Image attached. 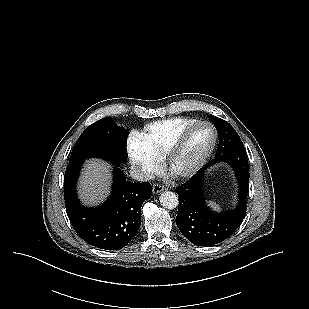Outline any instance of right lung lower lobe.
<instances>
[{
    "mask_svg": "<svg viewBox=\"0 0 309 309\" xmlns=\"http://www.w3.org/2000/svg\"><path fill=\"white\" fill-rule=\"evenodd\" d=\"M84 161L67 167L64 177V198L67 215L80 236L88 244L103 250H119L136 235L142 203L151 197V184L127 181L114 167L112 192L98 208L82 206L76 195V182Z\"/></svg>",
    "mask_w": 309,
    "mask_h": 309,
    "instance_id": "1",
    "label": "right lung lower lobe"
}]
</instances>
